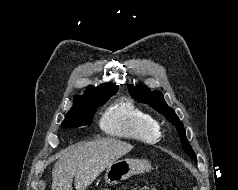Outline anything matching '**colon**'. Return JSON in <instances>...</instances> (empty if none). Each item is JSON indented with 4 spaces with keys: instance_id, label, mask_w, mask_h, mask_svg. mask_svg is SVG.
Listing matches in <instances>:
<instances>
[{
    "instance_id": "5ec220e1",
    "label": "colon",
    "mask_w": 238,
    "mask_h": 190,
    "mask_svg": "<svg viewBox=\"0 0 238 190\" xmlns=\"http://www.w3.org/2000/svg\"><path fill=\"white\" fill-rule=\"evenodd\" d=\"M132 190H155V189L149 187H135Z\"/></svg>"
}]
</instances>
